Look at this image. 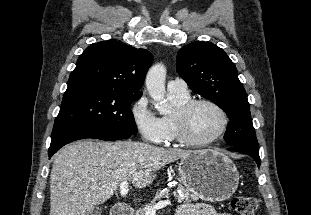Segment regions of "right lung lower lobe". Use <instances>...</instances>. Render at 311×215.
<instances>
[{
    "label": "right lung lower lobe",
    "mask_w": 311,
    "mask_h": 215,
    "mask_svg": "<svg viewBox=\"0 0 311 215\" xmlns=\"http://www.w3.org/2000/svg\"><path fill=\"white\" fill-rule=\"evenodd\" d=\"M132 134L130 133H116V132H79L68 135L59 136L53 138L48 151L49 158L52 157L62 146L80 139L85 138H96L105 141H113L129 138Z\"/></svg>",
    "instance_id": "right-lung-lower-lobe-1"
}]
</instances>
